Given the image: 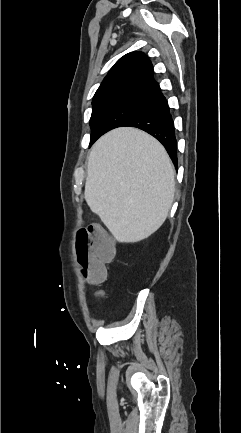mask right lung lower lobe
<instances>
[{"mask_svg":"<svg viewBox=\"0 0 241 433\" xmlns=\"http://www.w3.org/2000/svg\"><path fill=\"white\" fill-rule=\"evenodd\" d=\"M123 126L137 127L158 139L177 165V142L174 122L167 100L159 89L147 106Z\"/></svg>","mask_w":241,"mask_h":433,"instance_id":"98d812e1","label":"right lung lower lobe"}]
</instances>
